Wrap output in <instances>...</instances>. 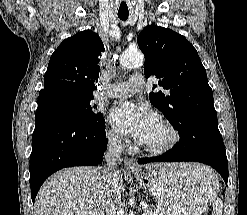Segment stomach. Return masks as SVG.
<instances>
[{"mask_svg":"<svg viewBox=\"0 0 247 215\" xmlns=\"http://www.w3.org/2000/svg\"><path fill=\"white\" fill-rule=\"evenodd\" d=\"M197 167L189 172L185 164H162L139 180L165 215H201L216 197L219 183L205 166Z\"/></svg>","mask_w":247,"mask_h":215,"instance_id":"obj_1","label":"stomach"}]
</instances>
